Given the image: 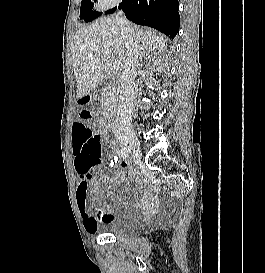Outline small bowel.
Returning a JSON list of instances; mask_svg holds the SVG:
<instances>
[{"label":"small bowel","mask_w":265,"mask_h":273,"mask_svg":"<svg viewBox=\"0 0 265 273\" xmlns=\"http://www.w3.org/2000/svg\"><path fill=\"white\" fill-rule=\"evenodd\" d=\"M92 107L90 100L87 98H81L78 102V114L77 121L72 127V146L74 156V168L77 175V191L76 201L80 212V215L84 222V228L89 234H96L101 225L110 221L113 216L103 202L99 186L106 185L108 183L118 184L124 174V171L128 167V162L124 158L121 159L120 164L123 169L122 174L115 179H110L107 176H101L97 179L96 184L90 185V179L92 178L91 171H83L79 166V159L81 157L80 149L77 150V129H89V124H84L88 119H92ZM93 204V207L91 206Z\"/></svg>","instance_id":"1"}]
</instances>
